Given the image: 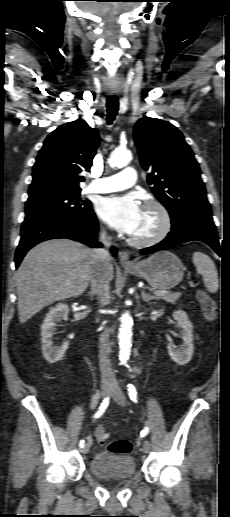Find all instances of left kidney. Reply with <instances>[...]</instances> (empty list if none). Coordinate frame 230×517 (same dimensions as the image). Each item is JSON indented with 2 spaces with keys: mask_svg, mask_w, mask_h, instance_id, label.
Instances as JSON below:
<instances>
[{
  "mask_svg": "<svg viewBox=\"0 0 230 517\" xmlns=\"http://www.w3.org/2000/svg\"><path fill=\"white\" fill-rule=\"evenodd\" d=\"M173 318L177 321V327L180 329L183 343L178 349L172 345H168V353L172 360L178 365H185L191 359L194 351L193 346V325L189 321L188 315L182 310L173 312Z\"/></svg>",
  "mask_w": 230,
  "mask_h": 517,
  "instance_id": "obj_1",
  "label": "left kidney"
}]
</instances>
